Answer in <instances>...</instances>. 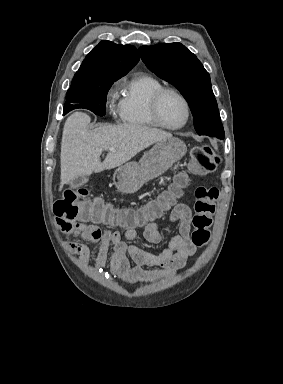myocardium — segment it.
I'll list each match as a JSON object with an SVG mask.
<instances>
[{
	"mask_svg": "<svg viewBox=\"0 0 283 384\" xmlns=\"http://www.w3.org/2000/svg\"><path fill=\"white\" fill-rule=\"evenodd\" d=\"M168 93L176 95L184 104L185 111H186V117H185L184 122L179 126H175V127L167 126L160 119V116H159L160 102H161L162 98ZM148 114H149V117L151 118L152 122L155 124V126L161 128V129H164V130H168V131H178V130L183 129L189 123V120L191 117V109H190V105H189L188 100L180 91H178L177 89H174V88L163 87L162 89L157 91L153 95V97L150 99L149 104H148Z\"/></svg>",
	"mask_w": 283,
	"mask_h": 384,
	"instance_id": "1",
	"label": "myocardium"
}]
</instances>
